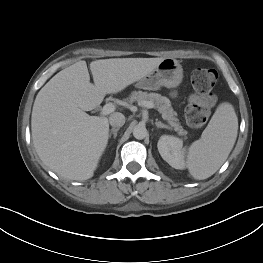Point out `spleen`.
Returning <instances> with one entry per match:
<instances>
[{
  "label": "spleen",
  "instance_id": "obj_1",
  "mask_svg": "<svg viewBox=\"0 0 263 263\" xmlns=\"http://www.w3.org/2000/svg\"><path fill=\"white\" fill-rule=\"evenodd\" d=\"M237 130L238 119L233 106L221 103L201 138L189 147L187 167L193 178L206 179L221 167L233 148Z\"/></svg>",
  "mask_w": 263,
  "mask_h": 263
}]
</instances>
